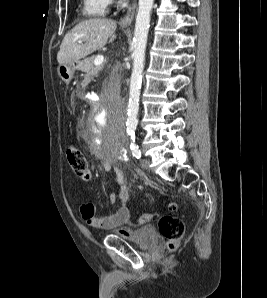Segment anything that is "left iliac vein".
I'll return each instance as SVG.
<instances>
[{
	"label": "left iliac vein",
	"mask_w": 267,
	"mask_h": 298,
	"mask_svg": "<svg viewBox=\"0 0 267 298\" xmlns=\"http://www.w3.org/2000/svg\"><path fill=\"white\" fill-rule=\"evenodd\" d=\"M141 167L145 170H149L150 168V161L148 159H142L141 160Z\"/></svg>",
	"instance_id": "left-iliac-vein-1"
}]
</instances>
